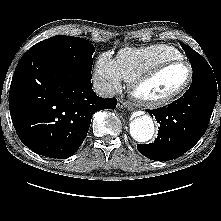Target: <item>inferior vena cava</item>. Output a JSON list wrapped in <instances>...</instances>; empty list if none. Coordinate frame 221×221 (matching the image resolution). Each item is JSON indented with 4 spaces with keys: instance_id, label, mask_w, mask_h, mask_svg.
<instances>
[{
    "instance_id": "1",
    "label": "inferior vena cava",
    "mask_w": 221,
    "mask_h": 221,
    "mask_svg": "<svg viewBox=\"0 0 221 221\" xmlns=\"http://www.w3.org/2000/svg\"><path fill=\"white\" fill-rule=\"evenodd\" d=\"M93 88L97 95L104 98L113 97L116 94L114 87L105 80H95L93 82Z\"/></svg>"
}]
</instances>
